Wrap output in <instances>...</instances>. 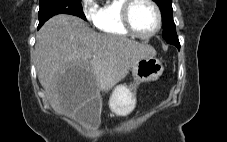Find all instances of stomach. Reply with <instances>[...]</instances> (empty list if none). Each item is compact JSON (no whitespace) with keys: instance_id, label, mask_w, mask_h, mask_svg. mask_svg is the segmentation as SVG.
Wrapping results in <instances>:
<instances>
[{"instance_id":"obj_1","label":"stomach","mask_w":227,"mask_h":142,"mask_svg":"<svg viewBox=\"0 0 227 142\" xmlns=\"http://www.w3.org/2000/svg\"><path fill=\"white\" fill-rule=\"evenodd\" d=\"M162 62L155 57L138 60L131 68L133 82L115 87L110 96L111 109L120 116L129 114L136 105L137 86L141 82L155 81L163 73Z\"/></svg>"}]
</instances>
